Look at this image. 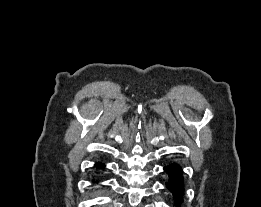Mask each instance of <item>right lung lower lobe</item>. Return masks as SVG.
<instances>
[{"mask_svg":"<svg viewBox=\"0 0 261 207\" xmlns=\"http://www.w3.org/2000/svg\"><path fill=\"white\" fill-rule=\"evenodd\" d=\"M95 167L97 168V169H103L104 168V164H101V163H96L95 164ZM94 182H98L97 180L96 181H94Z\"/></svg>","mask_w":261,"mask_h":207,"instance_id":"obj_1","label":"right lung lower lobe"}]
</instances>
